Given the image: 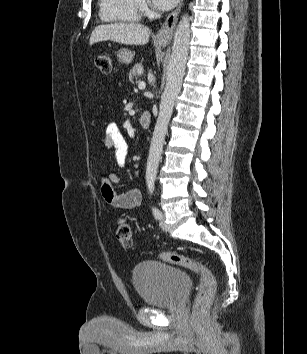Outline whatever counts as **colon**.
<instances>
[{"label":"colon","instance_id":"obj_1","mask_svg":"<svg viewBox=\"0 0 307 354\" xmlns=\"http://www.w3.org/2000/svg\"><path fill=\"white\" fill-rule=\"evenodd\" d=\"M95 66L103 74L110 73L112 68L111 56L108 54L97 56L95 58ZM116 235L118 241L123 247L130 248L132 246V229L130 224L124 219L118 221ZM159 257L163 261L188 268L198 275L200 284L193 308L194 318L197 320L201 312L209 304L215 294L216 280L213 273L201 261L182 254L162 252Z\"/></svg>","mask_w":307,"mask_h":354}]
</instances>
